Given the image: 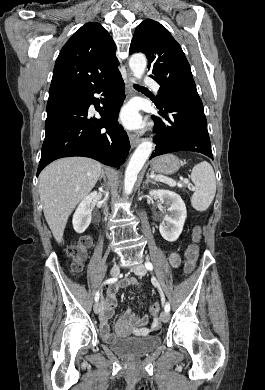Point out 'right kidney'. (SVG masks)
Segmentation results:
<instances>
[{"label": "right kidney", "instance_id": "obj_1", "mask_svg": "<svg viewBox=\"0 0 265 390\" xmlns=\"http://www.w3.org/2000/svg\"><path fill=\"white\" fill-rule=\"evenodd\" d=\"M97 196V192H93L86 196L78 205L73 215V228L77 233H83L91 223L92 202Z\"/></svg>", "mask_w": 265, "mask_h": 390}]
</instances>
